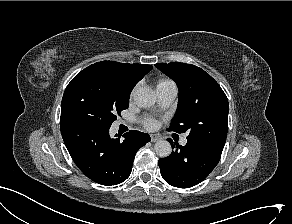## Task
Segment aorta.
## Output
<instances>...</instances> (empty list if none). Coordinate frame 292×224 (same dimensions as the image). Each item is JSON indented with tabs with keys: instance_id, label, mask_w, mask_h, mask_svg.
Wrapping results in <instances>:
<instances>
[{
	"instance_id": "aorta-1",
	"label": "aorta",
	"mask_w": 292,
	"mask_h": 224,
	"mask_svg": "<svg viewBox=\"0 0 292 224\" xmlns=\"http://www.w3.org/2000/svg\"><path fill=\"white\" fill-rule=\"evenodd\" d=\"M134 100L139 107H151L156 102V94L149 87H139L134 93ZM171 150V145L166 140H160L154 146L155 153L161 158L168 157Z\"/></svg>"
}]
</instances>
